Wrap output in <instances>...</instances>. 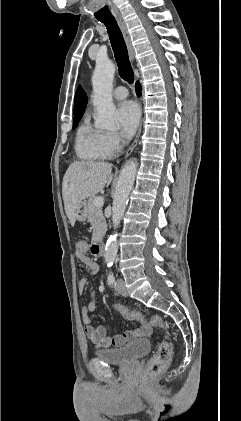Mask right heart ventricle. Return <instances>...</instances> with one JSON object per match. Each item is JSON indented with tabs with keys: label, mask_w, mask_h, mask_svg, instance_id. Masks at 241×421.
<instances>
[{
	"label": "right heart ventricle",
	"mask_w": 241,
	"mask_h": 421,
	"mask_svg": "<svg viewBox=\"0 0 241 421\" xmlns=\"http://www.w3.org/2000/svg\"><path fill=\"white\" fill-rule=\"evenodd\" d=\"M75 150L84 160L98 161L107 158L101 143V132L92 127L87 120L83 121L77 130Z\"/></svg>",
	"instance_id": "1"
}]
</instances>
